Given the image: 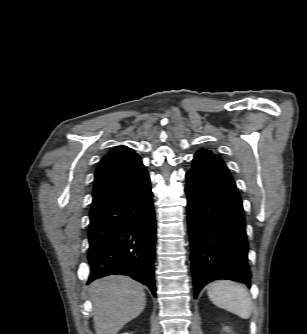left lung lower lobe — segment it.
Wrapping results in <instances>:
<instances>
[{"mask_svg":"<svg viewBox=\"0 0 307 334\" xmlns=\"http://www.w3.org/2000/svg\"><path fill=\"white\" fill-rule=\"evenodd\" d=\"M187 212L194 296L209 282L250 286L242 200L225 165L194 160L186 173Z\"/></svg>","mask_w":307,"mask_h":334,"instance_id":"0a47b994","label":"left lung lower lobe"}]
</instances>
